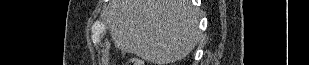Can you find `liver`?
Returning a JSON list of instances; mask_svg holds the SVG:
<instances>
[{"label": "liver", "mask_w": 309, "mask_h": 65, "mask_svg": "<svg viewBox=\"0 0 309 65\" xmlns=\"http://www.w3.org/2000/svg\"><path fill=\"white\" fill-rule=\"evenodd\" d=\"M107 24L117 48L157 65L186 57L200 35L190 0H111Z\"/></svg>", "instance_id": "1"}]
</instances>
